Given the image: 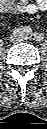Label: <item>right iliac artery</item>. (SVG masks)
<instances>
[{"mask_svg": "<svg viewBox=\"0 0 47 129\" xmlns=\"http://www.w3.org/2000/svg\"><path fill=\"white\" fill-rule=\"evenodd\" d=\"M25 31L30 34L31 33V28L30 27H25Z\"/></svg>", "mask_w": 47, "mask_h": 129, "instance_id": "right-iliac-artery-1", "label": "right iliac artery"}]
</instances>
